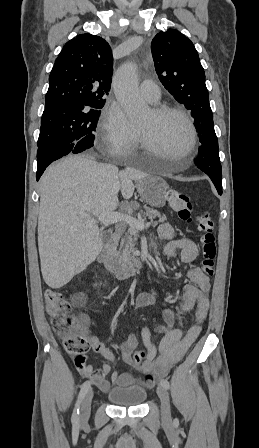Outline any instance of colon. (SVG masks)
I'll return each instance as SVG.
<instances>
[{"instance_id": "colon-1", "label": "colon", "mask_w": 259, "mask_h": 448, "mask_svg": "<svg viewBox=\"0 0 259 448\" xmlns=\"http://www.w3.org/2000/svg\"><path fill=\"white\" fill-rule=\"evenodd\" d=\"M167 199L179 218L193 223L201 233L203 255L201 267L205 274L213 275L216 246L212 219L207 213L195 214L189 197L179 190H169ZM45 307L54 331L63 340L65 350L75 356H84L90 348V342L85 332L87 318L85 316L76 317L71 304L58 291H46ZM146 358L147 353L142 350L135 351L132 356V360L138 364L145 361Z\"/></svg>"}]
</instances>
